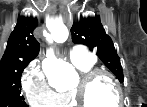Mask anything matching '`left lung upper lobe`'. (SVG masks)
<instances>
[{
	"label": "left lung upper lobe",
	"mask_w": 147,
	"mask_h": 107,
	"mask_svg": "<svg viewBox=\"0 0 147 107\" xmlns=\"http://www.w3.org/2000/svg\"><path fill=\"white\" fill-rule=\"evenodd\" d=\"M72 40L75 44H84L97 52L100 60L123 83V70L120 58L115 51L111 38L105 33L99 17L80 18L71 28Z\"/></svg>",
	"instance_id": "5c2ea615"
}]
</instances>
